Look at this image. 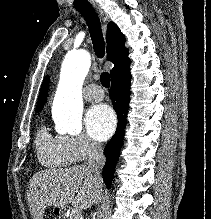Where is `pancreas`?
Masks as SVG:
<instances>
[{
    "label": "pancreas",
    "mask_w": 211,
    "mask_h": 219,
    "mask_svg": "<svg viewBox=\"0 0 211 219\" xmlns=\"http://www.w3.org/2000/svg\"><path fill=\"white\" fill-rule=\"evenodd\" d=\"M69 219H75V217L74 216H70V218Z\"/></svg>",
    "instance_id": "obj_1"
}]
</instances>
